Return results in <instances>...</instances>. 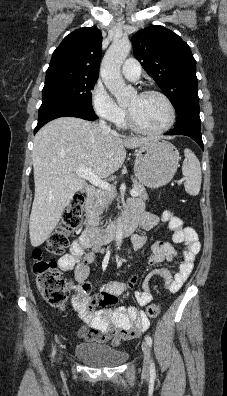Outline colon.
<instances>
[{"label": "colon", "instance_id": "1", "mask_svg": "<svg viewBox=\"0 0 227 396\" xmlns=\"http://www.w3.org/2000/svg\"><path fill=\"white\" fill-rule=\"evenodd\" d=\"M84 198L76 195L65 209L62 219L50 235L46 243V249L53 255H61L68 247L69 238L80 227L83 219ZM33 271L36 285L43 298L52 306L63 309L67 303L69 289L66 281L61 276L54 261L46 260L40 248L33 252ZM160 308L157 304L146 307V313L150 317L158 315Z\"/></svg>", "mask_w": 227, "mask_h": 396}]
</instances>
